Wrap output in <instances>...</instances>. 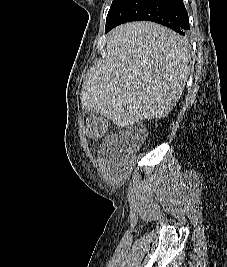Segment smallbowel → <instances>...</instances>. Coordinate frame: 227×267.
Masks as SVG:
<instances>
[{
	"label": "small bowel",
	"mask_w": 227,
	"mask_h": 267,
	"mask_svg": "<svg viewBox=\"0 0 227 267\" xmlns=\"http://www.w3.org/2000/svg\"><path fill=\"white\" fill-rule=\"evenodd\" d=\"M114 152H115V141L114 139H109L103 144L100 157L102 160H106L110 156H112Z\"/></svg>",
	"instance_id": "c3829d8e"
}]
</instances>
